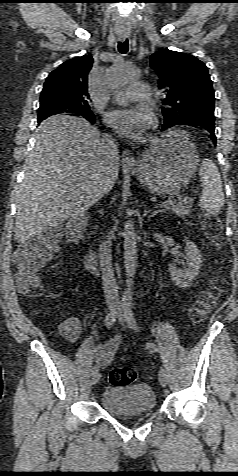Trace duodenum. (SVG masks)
<instances>
[{
	"mask_svg": "<svg viewBox=\"0 0 238 476\" xmlns=\"http://www.w3.org/2000/svg\"><path fill=\"white\" fill-rule=\"evenodd\" d=\"M87 226V217L80 215L74 217L67 224V240L78 252L84 266L93 273H99L101 263L98 255L86 248L83 243V233Z\"/></svg>",
	"mask_w": 238,
	"mask_h": 476,
	"instance_id": "1",
	"label": "duodenum"
}]
</instances>
